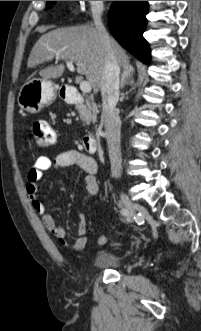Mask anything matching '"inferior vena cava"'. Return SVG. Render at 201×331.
Instances as JSON below:
<instances>
[{
	"label": "inferior vena cava",
	"instance_id": "1",
	"mask_svg": "<svg viewBox=\"0 0 201 331\" xmlns=\"http://www.w3.org/2000/svg\"><path fill=\"white\" fill-rule=\"evenodd\" d=\"M102 9L94 13V24L96 29L105 37L109 53L104 68V82L101 85L102 95V120L105 124L108 152L113 175L119 176L122 169V158L120 149L121 121L115 109L119 99V74L120 67L113 50L109 44V37L101 21Z\"/></svg>",
	"mask_w": 201,
	"mask_h": 331
}]
</instances>
